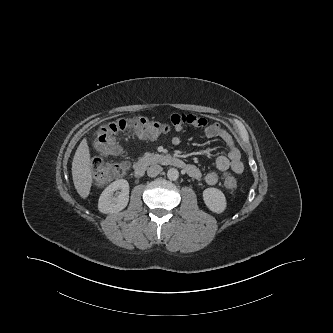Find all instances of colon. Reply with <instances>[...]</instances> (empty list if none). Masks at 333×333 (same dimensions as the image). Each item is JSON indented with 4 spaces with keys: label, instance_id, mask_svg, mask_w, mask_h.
Masks as SVG:
<instances>
[{
    "label": "colon",
    "instance_id": "1",
    "mask_svg": "<svg viewBox=\"0 0 333 333\" xmlns=\"http://www.w3.org/2000/svg\"><path fill=\"white\" fill-rule=\"evenodd\" d=\"M168 130L169 126L166 123L145 117L120 119L99 128L95 137V147L104 156H120L122 150L116 140L118 135L129 133L137 137L153 139L164 135ZM128 165L127 160L119 163L93 160L91 164L98 183H105L122 175ZM224 186L227 190H234L237 186L236 178L227 174L224 178Z\"/></svg>",
    "mask_w": 333,
    "mask_h": 333
}]
</instances>
